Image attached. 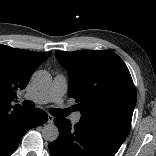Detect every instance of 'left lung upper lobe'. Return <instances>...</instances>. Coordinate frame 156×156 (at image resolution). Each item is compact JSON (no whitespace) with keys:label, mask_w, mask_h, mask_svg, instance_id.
Wrapping results in <instances>:
<instances>
[{"label":"left lung upper lobe","mask_w":156,"mask_h":156,"mask_svg":"<svg viewBox=\"0 0 156 156\" xmlns=\"http://www.w3.org/2000/svg\"><path fill=\"white\" fill-rule=\"evenodd\" d=\"M56 57L69 73L68 96L78 103L80 122L128 135L137 95L122 59L109 50L56 51Z\"/></svg>","instance_id":"5c2ea615"}]
</instances>
